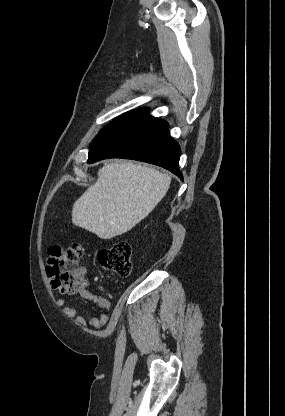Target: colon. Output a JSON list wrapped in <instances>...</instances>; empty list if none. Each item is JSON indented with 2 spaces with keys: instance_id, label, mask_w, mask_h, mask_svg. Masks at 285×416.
<instances>
[{
  "instance_id": "5ec220e1",
  "label": "colon",
  "mask_w": 285,
  "mask_h": 416,
  "mask_svg": "<svg viewBox=\"0 0 285 416\" xmlns=\"http://www.w3.org/2000/svg\"><path fill=\"white\" fill-rule=\"evenodd\" d=\"M84 249L79 244L65 248L55 245L50 248L47 275L51 286L63 293L79 292L85 285L84 268L80 265ZM132 249L127 241H118L97 252V260L105 269L121 277H128L132 271Z\"/></svg>"
}]
</instances>
